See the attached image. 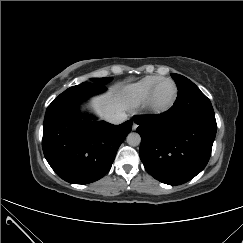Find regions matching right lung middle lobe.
Listing matches in <instances>:
<instances>
[{"mask_svg":"<svg viewBox=\"0 0 243 243\" xmlns=\"http://www.w3.org/2000/svg\"><path fill=\"white\" fill-rule=\"evenodd\" d=\"M91 80L93 81V83L105 85L108 82H110L112 80V78H108V77H106V78H92Z\"/></svg>","mask_w":243,"mask_h":243,"instance_id":"1","label":"right lung middle lobe"}]
</instances>
